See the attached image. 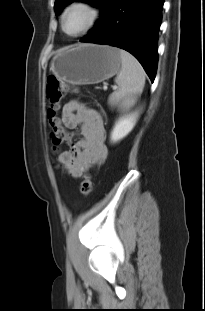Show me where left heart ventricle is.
Segmentation results:
<instances>
[{"label": "left heart ventricle", "mask_w": 205, "mask_h": 311, "mask_svg": "<svg viewBox=\"0 0 205 311\" xmlns=\"http://www.w3.org/2000/svg\"><path fill=\"white\" fill-rule=\"evenodd\" d=\"M89 18L90 13L87 9L74 7L66 16L65 30L70 34L81 31L87 25Z\"/></svg>", "instance_id": "obj_1"}]
</instances>
